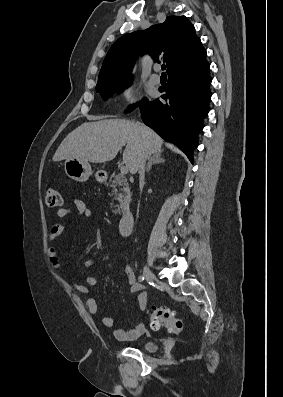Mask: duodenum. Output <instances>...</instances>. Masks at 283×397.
<instances>
[{
	"mask_svg": "<svg viewBox=\"0 0 283 397\" xmlns=\"http://www.w3.org/2000/svg\"><path fill=\"white\" fill-rule=\"evenodd\" d=\"M134 224V216L131 211H125L118 222V229L121 235L127 236L131 233Z\"/></svg>",
	"mask_w": 283,
	"mask_h": 397,
	"instance_id": "obj_1",
	"label": "duodenum"
}]
</instances>
